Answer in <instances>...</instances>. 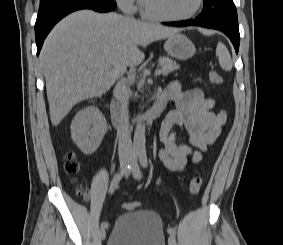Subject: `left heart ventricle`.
<instances>
[{"label": "left heart ventricle", "instance_id": "left-heart-ventricle-1", "mask_svg": "<svg viewBox=\"0 0 283 245\" xmlns=\"http://www.w3.org/2000/svg\"><path fill=\"white\" fill-rule=\"evenodd\" d=\"M146 8L158 15L177 17L190 11L196 5L197 0H143Z\"/></svg>", "mask_w": 283, "mask_h": 245}]
</instances>
